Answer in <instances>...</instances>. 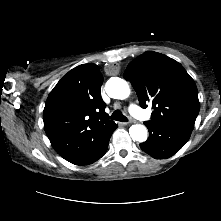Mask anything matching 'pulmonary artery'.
I'll list each match as a JSON object with an SVG mask.
<instances>
[{
  "label": "pulmonary artery",
  "mask_w": 221,
  "mask_h": 221,
  "mask_svg": "<svg viewBox=\"0 0 221 221\" xmlns=\"http://www.w3.org/2000/svg\"><path fill=\"white\" fill-rule=\"evenodd\" d=\"M129 111L130 113L139 120H149L150 116L148 113H146L144 110H142L139 106H137L134 103H131L129 105Z\"/></svg>",
  "instance_id": "obj_1"
}]
</instances>
